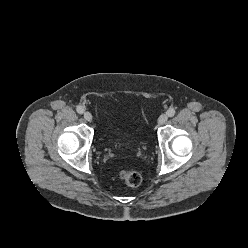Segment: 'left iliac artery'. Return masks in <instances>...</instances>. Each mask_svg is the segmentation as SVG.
<instances>
[{
	"label": "left iliac artery",
	"instance_id": "left-iliac-artery-1",
	"mask_svg": "<svg viewBox=\"0 0 248 248\" xmlns=\"http://www.w3.org/2000/svg\"><path fill=\"white\" fill-rule=\"evenodd\" d=\"M176 111L174 108H170L168 111H167V115L169 117H173L175 115Z\"/></svg>",
	"mask_w": 248,
	"mask_h": 248
}]
</instances>
